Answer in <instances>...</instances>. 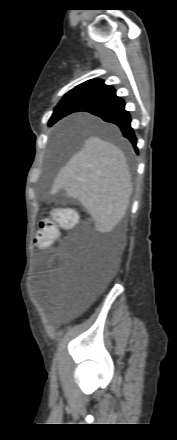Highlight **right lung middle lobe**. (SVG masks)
Segmentation results:
<instances>
[{
  "label": "right lung middle lobe",
  "mask_w": 177,
  "mask_h": 440,
  "mask_svg": "<svg viewBox=\"0 0 177 440\" xmlns=\"http://www.w3.org/2000/svg\"><path fill=\"white\" fill-rule=\"evenodd\" d=\"M95 100L91 97L81 96L75 93H67L59 102L54 110L55 117L62 118L70 113L80 111L82 108L94 103ZM52 125V124H49Z\"/></svg>",
  "instance_id": "dd1d6c3e"
}]
</instances>
